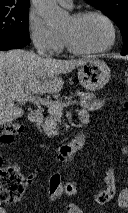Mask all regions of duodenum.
I'll return each mask as SVG.
<instances>
[{
  "label": "duodenum",
  "instance_id": "duodenum-1",
  "mask_svg": "<svg viewBox=\"0 0 128 213\" xmlns=\"http://www.w3.org/2000/svg\"><path fill=\"white\" fill-rule=\"evenodd\" d=\"M30 121L36 125H40L43 119V114L39 110H34L30 113ZM83 123H87L82 120ZM86 142V134L80 132L69 143L60 146L57 149V158L59 161H67L75 152L80 150Z\"/></svg>",
  "mask_w": 128,
  "mask_h": 213
}]
</instances>
